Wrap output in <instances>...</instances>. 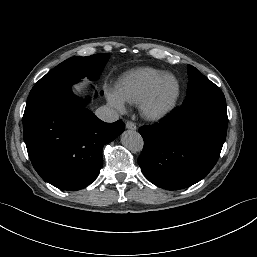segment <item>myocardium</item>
Returning <instances> with one entry per match:
<instances>
[{
	"instance_id": "f54148a6",
	"label": "myocardium",
	"mask_w": 257,
	"mask_h": 257,
	"mask_svg": "<svg viewBox=\"0 0 257 257\" xmlns=\"http://www.w3.org/2000/svg\"><path fill=\"white\" fill-rule=\"evenodd\" d=\"M173 78L177 84V90L175 95L173 96L172 100L162 109L154 110L153 104L157 97L158 91L162 85V83L168 79ZM182 92V86L180 80L174 75L170 73L164 74L160 77L151 87L145 98L140 103V109L142 115L150 121H161L167 118L176 108L178 101L180 99Z\"/></svg>"
}]
</instances>
